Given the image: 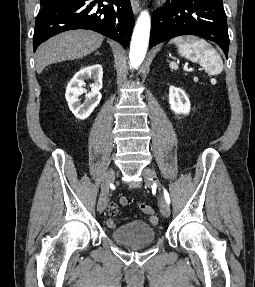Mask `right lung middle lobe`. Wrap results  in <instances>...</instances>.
Returning a JSON list of instances; mask_svg holds the SVG:
<instances>
[{"label":"right lung middle lobe","mask_w":255,"mask_h":287,"mask_svg":"<svg viewBox=\"0 0 255 287\" xmlns=\"http://www.w3.org/2000/svg\"><path fill=\"white\" fill-rule=\"evenodd\" d=\"M59 1H65V0H40L41 5L45 6L51 3L59 2Z\"/></svg>","instance_id":"dd1d6c3e"}]
</instances>
